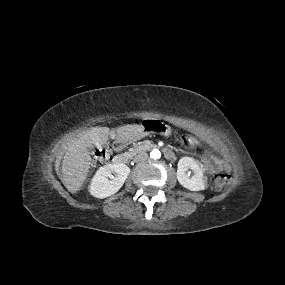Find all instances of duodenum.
<instances>
[{
  "instance_id": "obj_1",
  "label": "duodenum",
  "mask_w": 285,
  "mask_h": 285,
  "mask_svg": "<svg viewBox=\"0 0 285 285\" xmlns=\"http://www.w3.org/2000/svg\"><path fill=\"white\" fill-rule=\"evenodd\" d=\"M124 140H116L114 146L117 150L125 145ZM164 156L167 159H173L175 157L174 152L171 149L165 148L163 149ZM132 157L131 153H119L115 156V161L119 164H127Z\"/></svg>"
}]
</instances>
